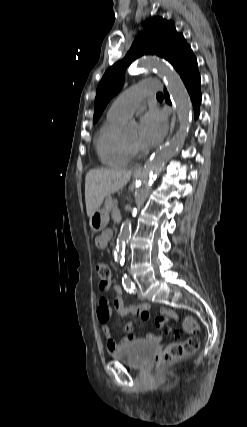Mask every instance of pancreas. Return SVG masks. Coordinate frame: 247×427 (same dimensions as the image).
Instances as JSON below:
<instances>
[{
  "label": "pancreas",
  "mask_w": 247,
  "mask_h": 427,
  "mask_svg": "<svg viewBox=\"0 0 247 427\" xmlns=\"http://www.w3.org/2000/svg\"><path fill=\"white\" fill-rule=\"evenodd\" d=\"M115 206V202H114V200L112 199V197L111 196H107L106 197V199H105V210L107 211V212H109V211H111L112 210V208Z\"/></svg>",
  "instance_id": "obj_1"
}]
</instances>
